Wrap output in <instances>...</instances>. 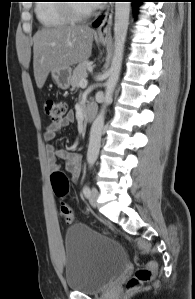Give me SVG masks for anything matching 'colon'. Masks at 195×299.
<instances>
[{
	"label": "colon",
	"instance_id": "obj_1",
	"mask_svg": "<svg viewBox=\"0 0 195 299\" xmlns=\"http://www.w3.org/2000/svg\"><path fill=\"white\" fill-rule=\"evenodd\" d=\"M67 110L68 106L65 101L49 100L45 103V113L53 122L61 121L66 116ZM51 181L54 193L58 197H63L67 194L69 189V180L62 170H53L51 173ZM60 213L68 223H73L75 221L74 212L67 204H61ZM155 269L156 264L154 262H149L145 266L138 267L134 276L128 283L129 288H139L150 282L154 278Z\"/></svg>",
	"mask_w": 195,
	"mask_h": 299
}]
</instances>
